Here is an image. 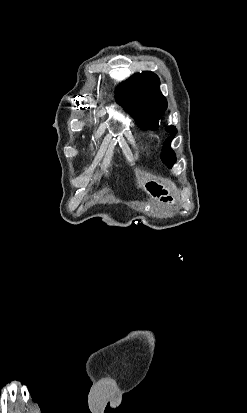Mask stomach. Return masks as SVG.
Returning a JSON list of instances; mask_svg holds the SVG:
<instances>
[{"label":"stomach","instance_id":"stomach-1","mask_svg":"<svg viewBox=\"0 0 247 413\" xmlns=\"http://www.w3.org/2000/svg\"><path fill=\"white\" fill-rule=\"evenodd\" d=\"M143 190H145L146 194H149L151 198H155L157 202H161V204H176V196L174 194L175 186L173 182H160V180H156V178H151V180H147L145 184H143Z\"/></svg>","mask_w":247,"mask_h":413}]
</instances>
